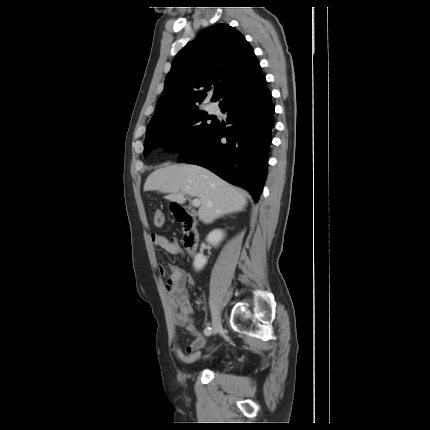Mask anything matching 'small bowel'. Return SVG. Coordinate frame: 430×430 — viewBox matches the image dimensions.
Here are the masks:
<instances>
[{
	"instance_id": "c3829d8e",
	"label": "small bowel",
	"mask_w": 430,
	"mask_h": 430,
	"mask_svg": "<svg viewBox=\"0 0 430 430\" xmlns=\"http://www.w3.org/2000/svg\"><path fill=\"white\" fill-rule=\"evenodd\" d=\"M151 239L154 245L165 250L167 253L178 255L182 252L176 238H167L160 233H153ZM170 275L164 284L167 291L169 303L173 310L172 320L175 326L186 327L193 335L194 340L184 350L179 347L177 337H173V351L178 359L183 362L191 363L197 361L201 356V351L206 345V335L198 333L193 325V306L190 301L189 289L195 286V280L192 275L186 273L177 265L169 267ZM161 273L164 267L159 265Z\"/></svg>"
}]
</instances>
